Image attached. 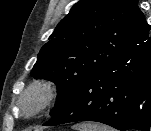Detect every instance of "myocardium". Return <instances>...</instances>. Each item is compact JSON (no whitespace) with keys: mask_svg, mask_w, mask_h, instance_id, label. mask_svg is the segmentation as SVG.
I'll return each instance as SVG.
<instances>
[{"mask_svg":"<svg viewBox=\"0 0 151 131\" xmlns=\"http://www.w3.org/2000/svg\"><path fill=\"white\" fill-rule=\"evenodd\" d=\"M58 93V86L54 81L36 80L19 96L17 105L24 116H34L48 108L57 99Z\"/></svg>","mask_w":151,"mask_h":131,"instance_id":"f54148a6","label":"myocardium"}]
</instances>
